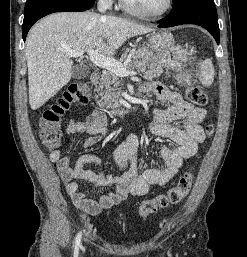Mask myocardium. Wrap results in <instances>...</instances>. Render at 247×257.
Returning a JSON list of instances; mask_svg holds the SVG:
<instances>
[{"instance_id": "obj_1", "label": "myocardium", "mask_w": 247, "mask_h": 257, "mask_svg": "<svg viewBox=\"0 0 247 257\" xmlns=\"http://www.w3.org/2000/svg\"><path fill=\"white\" fill-rule=\"evenodd\" d=\"M120 5L127 13L146 20L156 21L164 18L173 8V0H166L165 6L158 12L149 13L138 10L130 5L126 0H120Z\"/></svg>"}]
</instances>
